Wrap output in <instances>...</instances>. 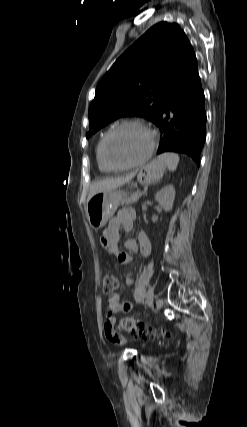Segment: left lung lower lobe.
Returning <instances> with one entry per match:
<instances>
[{"mask_svg":"<svg viewBox=\"0 0 247 427\" xmlns=\"http://www.w3.org/2000/svg\"><path fill=\"white\" fill-rule=\"evenodd\" d=\"M204 92L196 68L188 80L176 86L166 97L155 122L162 136L157 154L167 151L190 156L199 167L206 138Z\"/></svg>","mask_w":247,"mask_h":427,"instance_id":"left-lung-lower-lobe-1","label":"left lung lower lobe"}]
</instances>
